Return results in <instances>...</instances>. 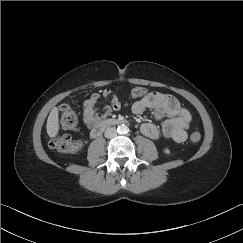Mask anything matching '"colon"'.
Here are the masks:
<instances>
[{
  "mask_svg": "<svg viewBox=\"0 0 243 243\" xmlns=\"http://www.w3.org/2000/svg\"><path fill=\"white\" fill-rule=\"evenodd\" d=\"M143 94V88L136 87L131 91L130 96L132 98H139ZM60 122L66 129L74 131L78 129L77 116L69 104L64 103L60 106ZM200 139L201 133L199 131L194 130L190 133V140L192 142H198ZM50 145L53 149L62 153H75L80 151L82 148V142L72 139L68 134L55 137L51 141Z\"/></svg>",
  "mask_w": 243,
  "mask_h": 243,
  "instance_id": "5ec220e1",
  "label": "colon"
}]
</instances>
